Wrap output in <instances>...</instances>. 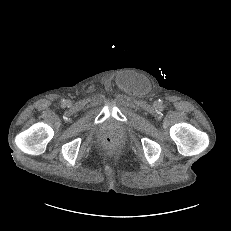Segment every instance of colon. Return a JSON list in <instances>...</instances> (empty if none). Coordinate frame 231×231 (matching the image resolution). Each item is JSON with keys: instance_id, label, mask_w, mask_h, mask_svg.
Returning <instances> with one entry per match:
<instances>
[{"instance_id": "obj_1", "label": "colon", "mask_w": 231, "mask_h": 231, "mask_svg": "<svg viewBox=\"0 0 231 231\" xmlns=\"http://www.w3.org/2000/svg\"><path fill=\"white\" fill-rule=\"evenodd\" d=\"M103 147L108 151H113L116 148V143L112 138L108 137L104 140Z\"/></svg>"}]
</instances>
